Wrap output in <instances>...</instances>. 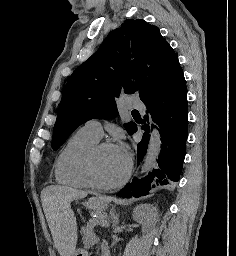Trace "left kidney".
<instances>
[{"mask_svg":"<svg viewBox=\"0 0 236 256\" xmlns=\"http://www.w3.org/2000/svg\"><path fill=\"white\" fill-rule=\"evenodd\" d=\"M133 220L142 224L143 232H149L158 222V210L151 204H140L133 212Z\"/></svg>","mask_w":236,"mask_h":256,"instance_id":"1","label":"left kidney"}]
</instances>
